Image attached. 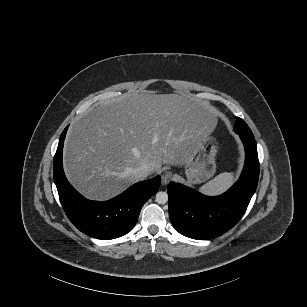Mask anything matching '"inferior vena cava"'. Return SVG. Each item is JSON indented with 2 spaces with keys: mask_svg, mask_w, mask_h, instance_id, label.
Wrapping results in <instances>:
<instances>
[{
  "mask_svg": "<svg viewBox=\"0 0 307 307\" xmlns=\"http://www.w3.org/2000/svg\"><path fill=\"white\" fill-rule=\"evenodd\" d=\"M132 172H133L134 177L138 181L145 179L149 175V169H148L147 165H142L138 168H135V169H133Z\"/></svg>",
  "mask_w": 307,
  "mask_h": 307,
  "instance_id": "1",
  "label": "inferior vena cava"
}]
</instances>
